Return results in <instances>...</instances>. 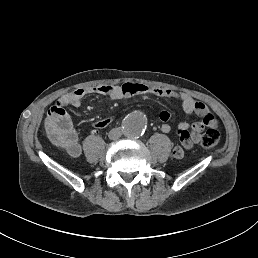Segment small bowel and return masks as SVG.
Here are the masks:
<instances>
[{
  "instance_id": "obj_1",
  "label": "small bowel",
  "mask_w": 258,
  "mask_h": 258,
  "mask_svg": "<svg viewBox=\"0 0 258 258\" xmlns=\"http://www.w3.org/2000/svg\"><path fill=\"white\" fill-rule=\"evenodd\" d=\"M89 94L106 95L113 100L127 98L139 94H153L159 97L175 98L181 102L182 109L186 115L195 114L200 118L198 122L190 125L182 121L177 125V136L181 145L173 148V155L176 158L184 156V149H190L199 143L201 133L206 127H217V120L210 113L208 107L201 101L194 99L187 93L177 92L169 88L153 87L141 83L126 82L120 85H99L87 88H79L71 93L62 96L48 111L45 127L50 141L58 148L66 151L71 157H79L82 148L79 137L73 128L66 108L69 106L78 108L83 98ZM162 121L161 130L164 133L171 131L168 121L171 113L162 110L159 114ZM113 121L112 117L99 119L93 123V133L109 126Z\"/></svg>"
}]
</instances>
